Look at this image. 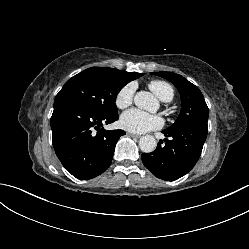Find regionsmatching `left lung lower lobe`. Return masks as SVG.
<instances>
[{
    "mask_svg": "<svg viewBox=\"0 0 249 249\" xmlns=\"http://www.w3.org/2000/svg\"><path fill=\"white\" fill-rule=\"evenodd\" d=\"M207 122H195L173 131L164 130L163 141L151 153H143L144 166L156 177L173 181L187 174L198 161L207 137Z\"/></svg>",
    "mask_w": 249,
    "mask_h": 249,
    "instance_id": "left-lung-lower-lobe-1",
    "label": "left lung lower lobe"
}]
</instances>
